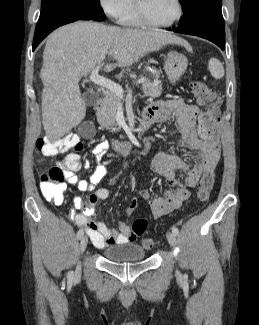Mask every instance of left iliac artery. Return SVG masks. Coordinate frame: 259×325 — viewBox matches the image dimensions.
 I'll return each instance as SVG.
<instances>
[{
    "label": "left iliac artery",
    "instance_id": "44dca946",
    "mask_svg": "<svg viewBox=\"0 0 259 325\" xmlns=\"http://www.w3.org/2000/svg\"><path fill=\"white\" fill-rule=\"evenodd\" d=\"M172 232H173L175 235H178V234H179V230H178V228L175 227V226L172 227ZM187 277H188V276L185 274V275H184V278L187 279Z\"/></svg>",
    "mask_w": 259,
    "mask_h": 325
}]
</instances>
